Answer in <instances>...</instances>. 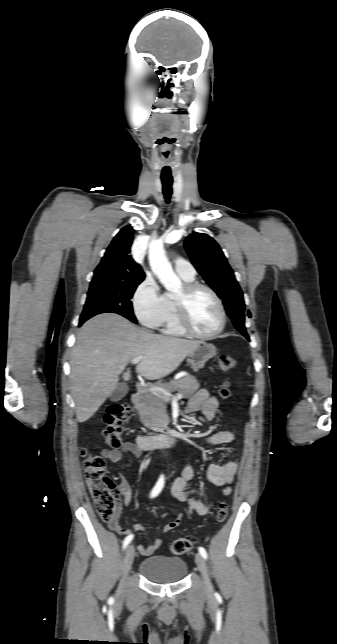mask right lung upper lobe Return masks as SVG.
Masks as SVG:
<instances>
[{"label":"right lung upper lobe","instance_id":"cb5924a9","mask_svg":"<svg viewBox=\"0 0 337 644\" xmlns=\"http://www.w3.org/2000/svg\"><path fill=\"white\" fill-rule=\"evenodd\" d=\"M134 230L126 226L114 237L101 263L94 271L91 283L142 282L145 274L129 255Z\"/></svg>","mask_w":337,"mask_h":644}]
</instances>
